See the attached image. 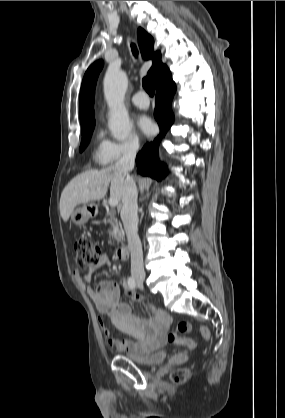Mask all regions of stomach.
<instances>
[{
  "instance_id": "obj_1",
  "label": "stomach",
  "mask_w": 285,
  "mask_h": 418,
  "mask_svg": "<svg viewBox=\"0 0 285 418\" xmlns=\"http://www.w3.org/2000/svg\"><path fill=\"white\" fill-rule=\"evenodd\" d=\"M91 217V212L88 206H83L81 208L73 211L71 215V220L78 226L84 225L89 218Z\"/></svg>"
}]
</instances>
